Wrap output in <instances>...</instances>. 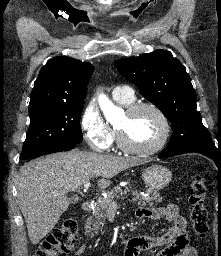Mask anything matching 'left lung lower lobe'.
Masks as SVG:
<instances>
[{"instance_id":"1","label":"left lung lower lobe","mask_w":221,"mask_h":256,"mask_svg":"<svg viewBox=\"0 0 221 256\" xmlns=\"http://www.w3.org/2000/svg\"><path fill=\"white\" fill-rule=\"evenodd\" d=\"M195 152L215 160L216 165L221 167V147L215 146L212 140L193 141L186 145H173L166 147L159 158H167L182 153Z\"/></svg>"}]
</instances>
